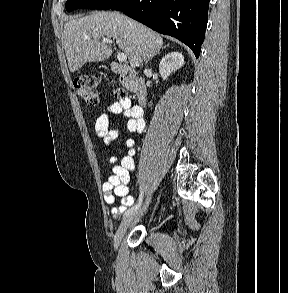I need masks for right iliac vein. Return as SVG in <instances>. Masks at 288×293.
Returning a JSON list of instances; mask_svg holds the SVG:
<instances>
[{
	"label": "right iliac vein",
	"instance_id": "obj_1",
	"mask_svg": "<svg viewBox=\"0 0 288 293\" xmlns=\"http://www.w3.org/2000/svg\"><path fill=\"white\" fill-rule=\"evenodd\" d=\"M151 202V196H149L144 205L139 208L138 210H136L135 212H133L132 214L127 215L121 222L119 228L117 229V232L114 236V247L117 248L123 235L125 234L126 230L128 229V227L130 226L131 222L140 214H142V212L147 208V206L150 204Z\"/></svg>",
	"mask_w": 288,
	"mask_h": 293
}]
</instances>
